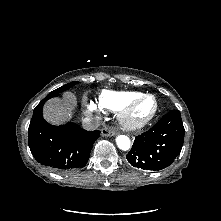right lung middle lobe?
Masks as SVG:
<instances>
[{
  "instance_id": "dd1d6c3e",
  "label": "right lung middle lobe",
  "mask_w": 221,
  "mask_h": 221,
  "mask_svg": "<svg viewBox=\"0 0 221 221\" xmlns=\"http://www.w3.org/2000/svg\"><path fill=\"white\" fill-rule=\"evenodd\" d=\"M77 83H79V82H77V81L70 82V83L50 92L45 98L50 99L52 97H55V96L59 95V93H62L63 91L68 90L69 88H71V86H74Z\"/></svg>"
}]
</instances>
